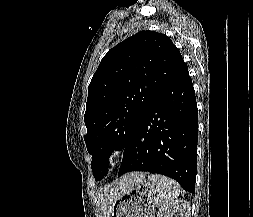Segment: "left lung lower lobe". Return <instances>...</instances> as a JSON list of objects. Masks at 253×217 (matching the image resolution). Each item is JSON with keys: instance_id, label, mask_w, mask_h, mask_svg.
Returning a JSON list of instances; mask_svg holds the SVG:
<instances>
[{"instance_id": "obj_1", "label": "left lung lower lobe", "mask_w": 253, "mask_h": 217, "mask_svg": "<svg viewBox=\"0 0 253 217\" xmlns=\"http://www.w3.org/2000/svg\"><path fill=\"white\" fill-rule=\"evenodd\" d=\"M197 118L195 91L185 63L133 125L118 177L137 170L158 173L194 193Z\"/></svg>"}]
</instances>
